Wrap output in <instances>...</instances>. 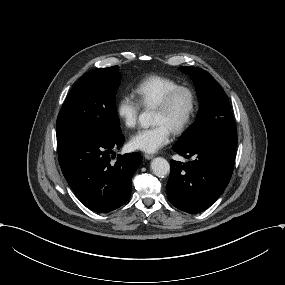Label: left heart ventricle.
Listing matches in <instances>:
<instances>
[{"label":"left heart ventricle","mask_w":285,"mask_h":285,"mask_svg":"<svg viewBox=\"0 0 285 285\" xmlns=\"http://www.w3.org/2000/svg\"><path fill=\"white\" fill-rule=\"evenodd\" d=\"M189 101V95L185 91H181L177 94L169 110L153 108L151 123H164L172 127L173 123L186 113Z\"/></svg>","instance_id":"1"}]
</instances>
